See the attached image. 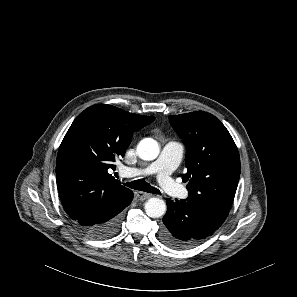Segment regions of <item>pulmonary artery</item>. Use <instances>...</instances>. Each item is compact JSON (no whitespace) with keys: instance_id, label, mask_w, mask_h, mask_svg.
I'll list each match as a JSON object with an SVG mask.
<instances>
[{"instance_id":"e3ab8cb5","label":"pulmonary artery","mask_w":297,"mask_h":297,"mask_svg":"<svg viewBox=\"0 0 297 297\" xmlns=\"http://www.w3.org/2000/svg\"><path fill=\"white\" fill-rule=\"evenodd\" d=\"M184 149L183 143L169 141L163 146L155 162L144 169H128L126 175L128 177L154 175L164 192L176 198L185 199L188 197V191L171 178V173L182 160Z\"/></svg>"}]
</instances>
